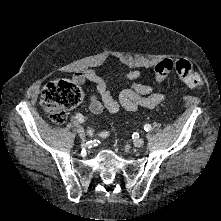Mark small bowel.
I'll return each mask as SVG.
<instances>
[{"label": "small bowel", "instance_id": "small-bowel-1", "mask_svg": "<svg viewBox=\"0 0 221 221\" xmlns=\"http://www.w3.org/2000/svg\"><path fill=\"white\" fill-rule=\"evenodd\" d=\"M141 76L140 70H131L124 74V79L132 81L129 88L120 92L118 100L114 99L109 88V81L98 75L93 69H86L74 74L73 80L77 84L91 81L96 84L97 96L90 97L91 112L100 114L106 110L109 114H116L121 108L135 112L139 108H154L165 100V95L155 91L151 85L133 82Z\"/></svg>", "mask_w": 221, "mask_h": 221}]
</instances>
